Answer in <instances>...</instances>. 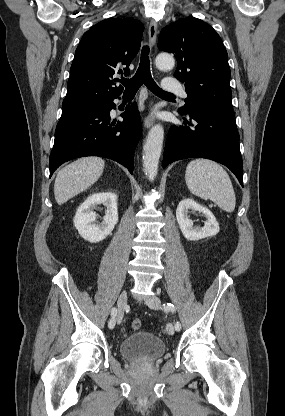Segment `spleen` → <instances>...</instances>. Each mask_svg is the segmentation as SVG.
Returning <instances> with one entry per match:
<instances>
[{"label": "spleen", "mask_w": 285, "mask_h": 416, "mask_svg": "<svg viewBox=\"0 0 285 416\" xmlns=\"http://www.w3.org/2000/svg\"><path fill=\"white\" fill-rule=\"evenodd\" d=\"M188 190L202 200H211L225 212H234L236 198L231 180L222 166L211 160H192L185 172Z\"/></svg>", "instance_id": "1"}]
</instances>
